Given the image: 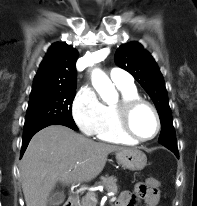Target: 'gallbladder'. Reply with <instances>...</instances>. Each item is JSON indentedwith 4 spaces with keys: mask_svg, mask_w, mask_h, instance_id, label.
<instances>
[{
    "mask_svg": "<svg viewBox=\"0 0 197 206\" xmlns=\"http://www.w3.org/2000/svg\"><path fill=\"white\" fill-rule=\"evenodd\" d=\"M64 200H65L64 193L54 189L51 192L50 197L48 199V206H59L64 202Z\"/></svg>",
    "mask_w": 197,
    "mask_h": 206,
    "instance_id": "gallbladder-1",
    "label": "gallbladder"
}]
</instances>
